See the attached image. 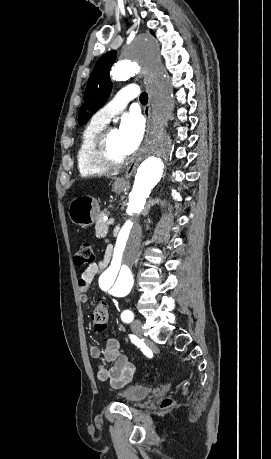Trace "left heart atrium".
I'll return each instance as SVG.
<instances>
[{"mask_svg": "<svg viewBox=\"0 0 271 459\" xmlns=\"http://www.w3.org/2000/svg\"><path fill=\"white\" fill-rule=\"evenodd\" d=\"M119 132L127 153L135 151L145 133V120L139 113H128L121 118Z\"/></svg>", "mask_w": 271, "mask_h": 459, "instance_id": "left-heart-atrium-1", "label": "left heart atrium"}]
</instances>
